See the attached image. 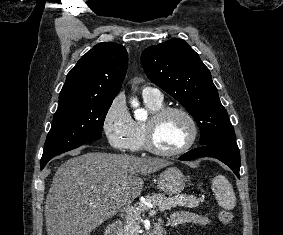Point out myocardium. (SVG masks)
<instances>
[{
    "label": "myocardium",
    "mask_w": 283,
    "mask_h": 235,
    "mask_svg": "<svg viewBox=\"0 0 283 235\" xmlns=\"http://www.w3.org/2000/svg\"><path fill=\"white\" fill-rule=\"evenodd\" d=\"M170 113H179L185 117L189 126H190V135L188 140L183 144L181 147L171 150V151H164L159 148L154 143L153 135L156 125L168 114ZM199 134V129L197 122L193 115L183 107L179 106H167L162 107L161 109L157 110L156 112L152 113L151 117L148 119L147 122L144 124V148L154 154L156 156L161 157H175L182 155L189 151L197 141Z\"/></svg>",
    "instance_id": "myocardium-1"
}]
</instances>
